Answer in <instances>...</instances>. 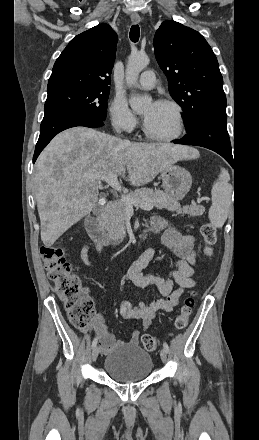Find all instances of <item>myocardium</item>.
I'll use <instances>...</instances> for the list:
<instances>
[{
	"instance_id": "obj_1",
	"label": "myocardium",
	"mask_w": 259,
	"mask_h": 440,
	"mask_svg": "<svg viewBox=\"0 0 259 440\" xmlns=\"http://www.w3.org/2000/svg\"><path fill=\"white\" fill-rule=\"evenodd\" d=\"M158 103L171 106L174 109L175 117H176V130L173 134L169 136H158L153 134L151 131H149V129L147 128L144 122L142 126L143 133L148 139L153 141L163 142V143L172 142L178 139L184 131L185 122H184L183 108L177 101L172 99H160Z\"/></svg>"
}]
</instances>
